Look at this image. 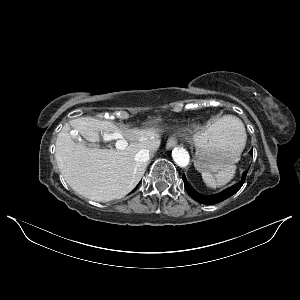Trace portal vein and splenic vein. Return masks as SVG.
Returning <instances> with one entry per match:
<instances>
[{
	"label": "portal vein and splenic vein",
	"mask_w": 300,
	"mask_h": 300,
	"mask_svg": "<svg viewBox=\"0 0 300 300\" xmlns=\"http://www.w3.org/2000/svg\"><path fill=\"white\" fill-rule=\"evenodd\" d=\"M111 139H117L116 141V148L117 149H125L128 145V142L122 137V135L118 134V133H115V134H112Z\"/></svg>",
	"instance_id": "obj_1"
}]
</instances>
